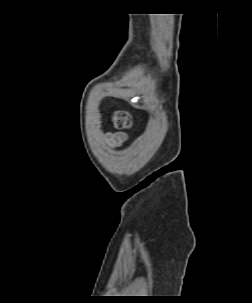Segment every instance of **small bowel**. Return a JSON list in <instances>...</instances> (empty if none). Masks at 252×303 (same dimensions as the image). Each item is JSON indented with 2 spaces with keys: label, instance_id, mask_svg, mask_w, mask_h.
Wrapping results in <instances>:
<instances>
[{
  "label": "small bowel",
  "instance_id": "c3829d8e",
  "mask_svg": "<svg viewBox=\"0 0 252 303\" xmlns=\"http://www.w3.org/2000/svg\"><path fill=\"white\" fill-rule=\"evenodd\" d=\"M104 137L105 139L108 141V144L115 148V149H119L123 146L127 134L125 132H110V131H106L104 132Z\"/></svg>",
  "mask_w": 252,
  "mask_h": 303
}]
</instances>
